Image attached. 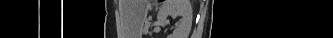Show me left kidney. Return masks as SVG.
I'll list each match as a JSON object with an SVG mask.
<instances>
[{
	"mask_svg": "<svg viewBox=\"0 0 333 38\" xmlns=\"http://www.w3.org/2000/svg\"><path fill=\"white\" fill-rule=\"evenodd\" d=\"M180 16L170 38H188L192 26V7L189 0H165L159 8L157 20L168 25V17Z\"/></svg>",
	"mask_w": 333,
	"mask_h": 38,
	"instance_id": "5707ae66",
	"label": "left kidney"
}]
</instances>
